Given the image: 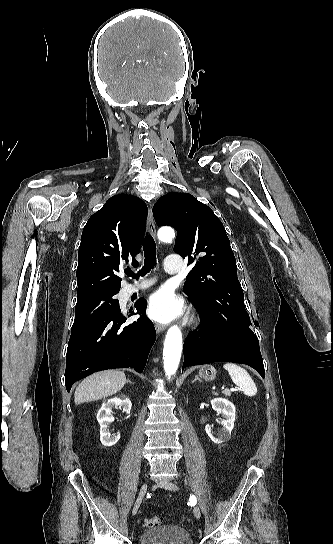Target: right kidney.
<instances>
[{
	"mask_svg": "<svg viewBox=\"0 0 333 544\" xmlns=\"http://www.w3.org/2000/svg\"><path fill=\"white\" fill-rule=\"evenodd\" d=\"M114 407H120L123 409V411L129 414L132 403L128 398L120 399L118 397H114L108 399L102 404L96 417L100 424V441L104 446H113L120 439V433L112 436L108 429V425L114 421V417L111 414L112 408Z\"/></svg>",
	"mask_w": 333,
	"mask_h": 544,
	"instance_id": "right-kidney-1",
	"label": "right kidney"
}]
</instances>
